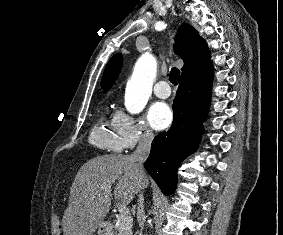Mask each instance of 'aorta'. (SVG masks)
<instances>
[{
    "instance_id": "aorta-1",
    "label": "aorta",
    "mask_w": 283,
    "mask_h": 235,
    "mask_svg": "<svg viewBox=\"0 0 283 235\" xmlns=\"http://www.w3.org/2000/svg\"><path fill=\"white\" fill-rule=\"evenodd\" d=\"M157 62L154 56L143 54L136 62L125 91V107L131 114L141 112L152 93Z\"/></svg>"
}]
</instances>
